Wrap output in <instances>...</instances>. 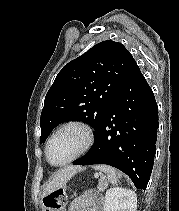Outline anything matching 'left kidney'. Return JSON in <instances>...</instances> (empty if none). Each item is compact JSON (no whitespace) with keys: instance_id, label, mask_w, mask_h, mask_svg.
Here are the masks:
<instances>
[{"instance_id":"5707ae66","label":"left kidney","mask_w":179,"mask_h":211,"mask_svg":"<svg viewBox=\"0 0 179 211\" xmlns=\"http://www.w3.org/2000/svg\"><path fill=\"white\" fill-rule=\"evenodd\" d=\"M104 211H137V196L126 188L107 190L104 200Z\"/></svg>"}]
</instances>
